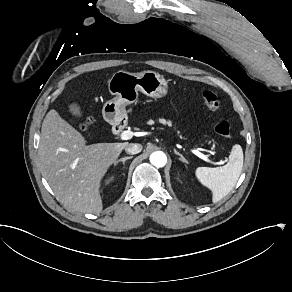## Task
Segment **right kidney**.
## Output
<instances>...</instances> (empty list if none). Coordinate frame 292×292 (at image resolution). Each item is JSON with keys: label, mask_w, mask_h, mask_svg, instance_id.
<instances>
[{"label": "right kidney", "mask_w": 292, "mask_h": 292, "mask_svg": "<svg viewBox=\"0 0 292 292\" xmlns=\"http://www.w3.org/2000/svg\"><path fill=\"white\" fill-rule=\"evenodd\" d=\"M111 180H113V177H111V178L107 181V183H109Z\"/></svg>", "instance_id": "1"}]
</instances>
